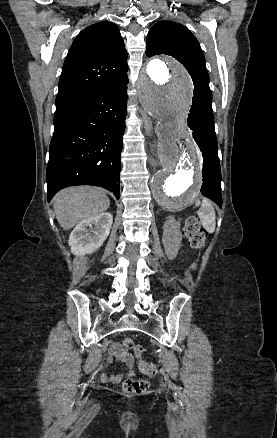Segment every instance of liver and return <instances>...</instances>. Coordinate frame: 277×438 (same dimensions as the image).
Listing matches in <instances>:
<instances>
[{"mask_svg": "<svg viewBox=\"0 0 277 438\" xmlns=\"http://www.w3.org/2000/svg\"><path fill=\"white\" fill-rule=\"evenodd\" d=\"M53 202L57 222L63 230H71L82 220L106 212L110 206V200L101 188L92 186L65 188L56 194Z\"/></svg>", "mask_w": 277, "mask_h": 438, "instance_id": "6515ba94", "label": "liver"}]
</instances>
